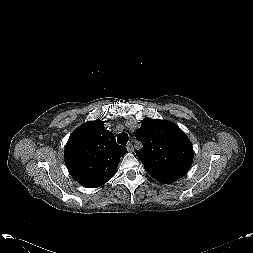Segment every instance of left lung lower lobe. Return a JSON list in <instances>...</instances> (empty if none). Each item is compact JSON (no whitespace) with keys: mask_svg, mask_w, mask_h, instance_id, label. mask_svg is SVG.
I'll return each instance as SVG.
<instances>
[{"mask_svg":"<svg viewBox=\"0 0 253 253\" xmlns=\"http://www.w3.org/2000/svg\"><path fill=\"white\" fill-rule=\"evenodd\" d=\"M148 174L152 176L154 179H156L157 181L164 184L173 183L182 177L180 175H174V174L163 173V172H150Z\"/></svg>","mask_w":253,"mask_h":253,"instance_id":"0a47b994","label":"left lung lower lobe"}]
</instances>
